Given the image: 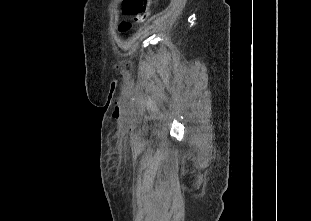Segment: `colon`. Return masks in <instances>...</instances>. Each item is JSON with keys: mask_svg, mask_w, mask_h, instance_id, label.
I'll return each instance as SVG.
<instances>
[{"mask_svg": "<svg viewBox=\"0 0 311 221\" xmlns=\"http://www.w3.org/2000/svg\"><path fill=\"white\" fill-rule=\"evenodd\" d=\"M149 0H124L123 2V10H121V17H135L136 23H144L147 21L149 16V8L147 4ZM127 24L124 23V27ZM124 28L122 29V32Z\"/></svg>", "mask_w": 311, "mask_h": 221, "instance_id": "obj_1", "label": "colon"}]
</instances>
